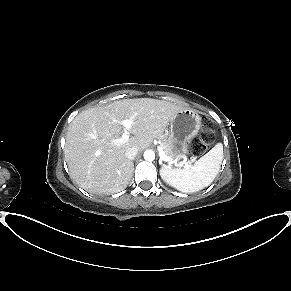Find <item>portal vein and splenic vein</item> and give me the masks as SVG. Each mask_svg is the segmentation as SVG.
Returning a JSON list of instances; mask_svg holds the SVG:
<instances>
[{"label": "portal vein and splenic vein", "mask_w": 291, "mask_h": 291, "mask_svg": "<svg viewBox=\"0 0 291 291\" xmlns=\"http://www.w3.org/2000/svg\"><path fill=\"white\" fill-rule=\"evenodd\" d=\"M132 123H133V119H129V120L127 119V120L120 121V124H122L125 127V131L120 138L114 140L115 144H121V143H125L126 141H128L129 128L132 125ZM158 151H159L160 158L162 160H164V161L168 160V157L166 156V154L164 153V151L161 147H158Z\"/></svg>", "instance_id": "portal-vein-and-splenic-vein-1"}]
</instances>
